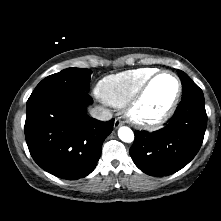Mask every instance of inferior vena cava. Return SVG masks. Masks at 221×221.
<instances>
[{
  "label": "inferior vena cava",
  "instance_id": "obj_1",
  "mask_svg": "<svg viewBox=\"0 0 221 221\" xmlns=\"http://www.w3.org/2000/svg\"><path fill=\"white\" fill-rule=\"evenodd\" d=\"M90 114L93 118H96L101 121H109L112 118V113L103 107L96 106L90 110Z\"/></svg>",
  "mask_w": 221,
  "mask_h": 221
}]
</instances>
